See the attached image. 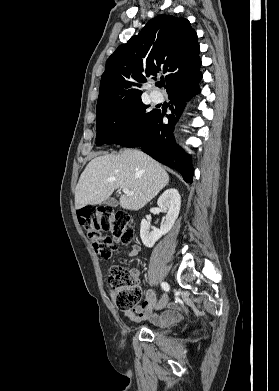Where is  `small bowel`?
Segmentation results:
<instances>
[{"mask_svg":"<svg viewBox=\"0 0 279 391\" xmlns=\"http://www.w3.org/2000/svg\"><path fill=\"white\" fill-rule=\"evenodd\" d=\"M139 251L140 246L134 244L131 246L127 256L134 257L139 253ZM132 274L135 278L138 276V273L136 271H133ZM156 301L157 299L154 290L147 289L145 292L144 300L140 304H138L133 310L126 311L124 315L127 319L133 322L138 323L148 320L159 327H167L180 320L183 309L178 303H169L167 305L166 311H164L162 314H157L153 312Z\"/></svg>","mask_w":279,"mask_h":391,"instance_id":"1","label":"small bowel"}]
</instances>
